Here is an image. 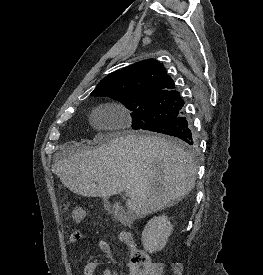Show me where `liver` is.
Here are the masks:
<instances>
[{
  "instance_id": "6515ba94",
  "label": "liver",
  "mask_w": 263,
  "mask_h": 275,
  "mask_svg": "<svg viewBox=\"0 0 263 275\" xmlns=\"http://www.w3.org/2000/svg\"><path fill=\"white\" fill-rule=\"evenodd\" d=\"M94 142L99 146L57 156L52 172L70 191L85 197L108 198L128 191L130 218L165 209L195 186L194 160L170 140L99 133Z\"/></svg>"
}]
</instances>
